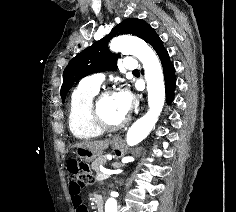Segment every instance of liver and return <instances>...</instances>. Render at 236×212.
Listing matches in <instances>:
<instances>
[{"mask_svg": "<svg viewBox=\"0 0 236 212\" xmlns=\"http://www.w3.org/2000/svg\"><path fill=\"white\" fill-rule=\"evenodd\" d=\"M110 144V140H99V141H83L74 145V147H84L94 153H102L103 150L107 149Z\"/></svg>", "mask_w": 236, "mask_h": 212, "instance_id": "6515ba94", "label": "liver"}]
</instances>
